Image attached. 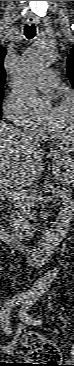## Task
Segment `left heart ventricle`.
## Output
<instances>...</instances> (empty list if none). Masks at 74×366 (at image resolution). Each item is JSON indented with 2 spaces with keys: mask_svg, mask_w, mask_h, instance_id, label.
Listing matches in <instances>:
<instances>
[{
  "mask_svg": "<svg viewBox=\"0 0 74 366\" xmlns=\"http://www.w3.org/2000/svg\"><path fill=\"white\" fill-rule=\"evenodd\" d=\"M49 130L60 137H71L73 135L72 113L69 106L61 105L57 107V114Z\"/></svg>",
  "mask_w": 74,
  "mask_h": 366,
  "instance_id": "b2bd125f",
  "label": "left heart ventricle"
}]
</instances>
